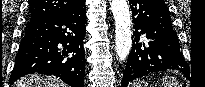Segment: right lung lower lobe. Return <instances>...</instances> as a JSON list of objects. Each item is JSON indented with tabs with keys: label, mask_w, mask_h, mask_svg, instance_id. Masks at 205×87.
<instances>
[{
	"label": "right lung lower lobe",
	"mask_w": 205,
	"mask_h": 87,
	"mask_svg": "<svg viewBox=\"0 0 205 87\" xmlns=\"http://www.w3.org/2000/svg\"><path fill=\"white\" fill-rule=\"evenodd\" d=\"M85 3L58 15L29 21L9 82L27 74L56 76L71 87H83L86 33Z\"/></svg>",
	"instance_id": "obj_1"
}]
</instances>
